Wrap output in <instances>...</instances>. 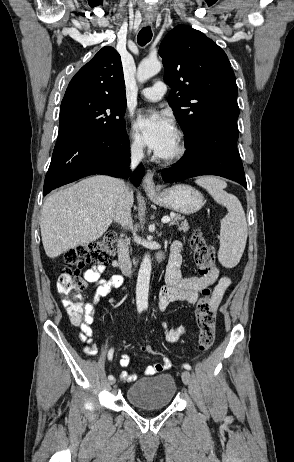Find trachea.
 Listing matches in <instances>:
<instances>
[{"mask_svg":"<svg viewBox=\"0 0 294 462\" xmlns=\"http://www.w3.org/2000/svg\"><path fill=\"white\" fill-rule=\"evenodd\" d=\"M152 38V31L149 26L142 28L138 33L137 41L140 46L146 45Z\"/></svg>","mask_w":294,"mask_h":462,"instance_id":"3493384b","label":"trachea"}]
</instances>
